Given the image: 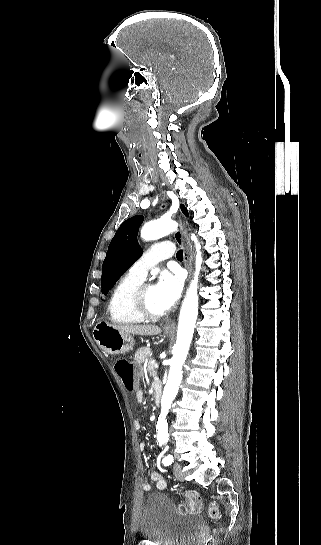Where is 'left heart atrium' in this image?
<instances>
[{
	"mask_svg": "<svg viewBox=\"0 0 321 545\" xmlns=\"http://www.w3.org/2000/svg\"><path fill=\"white\" fill-rule=\"evenodd\" d=\"M183 283L179 271L163 270L159 273L154 289L157 302L164 312H169L180 298Z\"/></svg>",
	"mask_w": 321,
	"mask_h": 545,
	"instance_id": "obj_1",
	"label": "left heart atrium"
}]
</instances>
